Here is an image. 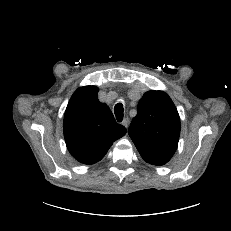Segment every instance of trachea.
Wrapping results in <instances>:
<instances>
[{
    "label": "trachea",
    "instance_id": "3493384b",
    "mask_svg": "<svg viewBox=\"0 0 231 231\" xmlns=\"http://www.w3.org/2000/svg\"><path fill=\"white\" fill-rule=\"evenodd\" d=\"M114 113L118 122L123 120L124 109L122 103H117L114 107Z\"/></svg>",
    "mask_w": 231,
    "mask_h": 231
}]
</instances>
